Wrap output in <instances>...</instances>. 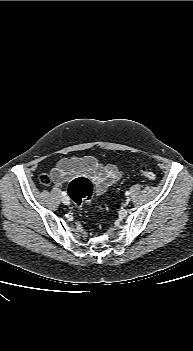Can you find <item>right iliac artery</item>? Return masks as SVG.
<instances>
[{"mask_svg": "<svg viewBox=\"0 0 193 351\" xmlns=\"http://www.w3.org/2000/svg\"><path fill=\"white\" fill-rule=\"evenodd\" d=\"M62 195H63V196H66V195H67V193H66L65 191H63V192H62Z\"/></svg>", "mask_w": 193, "mask_h": 351, "instance_id": "1", "label": "right iliac artery"}]
</instances>
